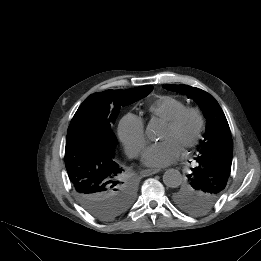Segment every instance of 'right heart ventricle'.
<instances>
[{
  "label": "right heart ventricle",
  "mask_w": 261,
  "mask_h": 261,
  "mask_svg": "<svg viewBox=\"0 0 261 261\" xmlns=\"http://www.w3.org/2000/svg\"><path fill=\"white\" fill-rule=\"evenodd\" d=\"M185 107L186 104L182 100L172 96H163L149 106V112L165 121H169Z\"/></svg>",
  "instance_id": "1"
}]
</instances>
